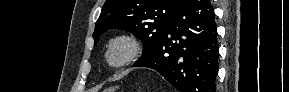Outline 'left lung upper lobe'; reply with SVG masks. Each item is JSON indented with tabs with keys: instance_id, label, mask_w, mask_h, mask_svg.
<instances>
[{
	"instance_id": "left-lung-upper-lobe-1",
	"label": "left lung upper lobe",
	"mask_w": 289,
	"mask_h": 92,
	"mask_svg": "<svg viewBox=\"0 0 289 92\" xmlns=\"http://www.w3.org/2000/svg\"><path fill=\"white\" fill-rule=\"evenodd\" d=\"M183 1L106 0L95 25L94 45L108 29H121L142 40L141 58L149 56L157 49L165 28Z\"/></svg>"
}]
</instances>
